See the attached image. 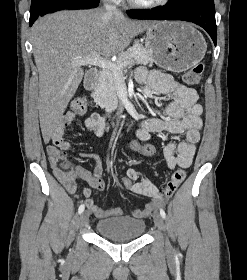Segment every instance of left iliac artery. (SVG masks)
<instances>
[{
	"label": "left iliac artery",
	"mask_w": 247,
	"mask_h": 280,
	"mask_svg": "<svg viewBox=\"0 0 247 280\" xmlns=\"http://www.w3.org/2000/svg\"><path fill=\"white\" fill-rule=\"evenodd\" d=\"M160 215L162 216V218H166V213L163 209H160Z\"/></svg>",
	"instance_id": "left-iliac-artery-1"
}]
</instances>
